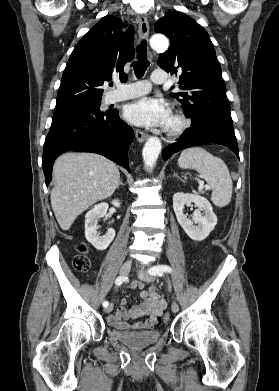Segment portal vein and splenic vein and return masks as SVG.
<instances>
[{"mask_svg": "<svg viewBox=\"0 0 279 391\" xmlns=\"http://www.w3.org/2000/svg\"><path fill=\"white\" fill-rule=\"evenodd\" d=\"M199 184H200V185H199L198 190L201 191L205 186H204V183H203L202 181H200Z\"/></svg>", "mask_w": 279, "mask_h": 391, "instance_id": "portal-vein-and-splenic-vein-1", "label": "portal vein and splenic vein"}]
</instances>
